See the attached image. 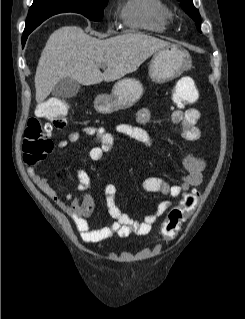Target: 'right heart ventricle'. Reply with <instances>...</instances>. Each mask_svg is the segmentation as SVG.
Returning a JSON list of instances; mask_svg holds the SVG:
<instances>
[{
    "instance_id": "obj_1",
    "label": "right heart ventricle",
    "mask_w": 245,
    "mask_h": 319,
    "mask_svg": "<svg viewBox=\"0 0 245 319\" xmlns=\"http://www.w3.org/2000/svg\"><path fill=\"white\" fill-rule=\"evenodd\" d=\"M119 17L129 28L161 33L169 27L172 15L163 0H124Z\"/></svg>"
}]
</instances>
